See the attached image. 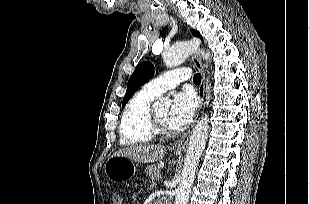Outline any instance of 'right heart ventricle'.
Segmentation results:
<instances>
[{"label": "right heart ventricle", "mask_w": 309, "mask_h": 204, "mask_svg": "<svg viewBox=\"0 0 309 204\" xmlns=\"http://www.w3.org/2000/svg\"><path fill=\"white\" fill-rule=\"evenodd\" d=\"M155 97L141 90L128 101L119 125L121 144L136 145L155 138L156 133L149 123L150 106Z\"/></svg>", "instance_id": "right-heart-ventricle-1"}]
</instances>
